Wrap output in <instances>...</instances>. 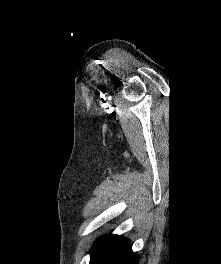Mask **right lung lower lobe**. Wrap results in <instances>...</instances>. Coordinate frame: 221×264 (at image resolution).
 <instances>
[{"label": "right lung lower lobe", "instance_id": "1", "mask_svg": "<svg viewBox=\"0 0 221 264\" xmlns=\"http://www.w3.org/2000/svg\"><path fill=\"white\" fill-rule=\"evenodd\" d=\"M89 264H138V257L127 240L111 235L95 243Z\"/></svg>", "mask_w": 221, "mask_h": 264}]
</instances>
